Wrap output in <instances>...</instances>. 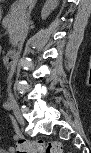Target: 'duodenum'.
<instances>
[{
	"label": "duodenum",
	"instance_id": "1",
	"mask_svg": "<svg viewBox=\"0 0 91 153\" xmlns=\"http://www.w3.org/2000/svg\"><path fill=\"white\" fill-rule=\"evenodd\" d=\"M18 57V50L12 49L6 52L5 56H4V62L7 65L12 64L16 58Z\"/></svg>",
	"mask_w": 91,
	"mask_h": 153
}]
</instances>
